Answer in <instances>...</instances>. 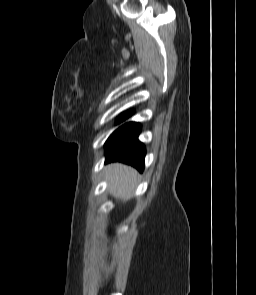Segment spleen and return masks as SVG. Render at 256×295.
Wrapping results in <instances>:
<instances>
[{
  "label": "spleen",
  "instance_id": "1",
  "mask_svg": "<svg viewBox=\"0 0 256 295\" xmlns=\"http://www.w3.org/2000/svg\"><path fill=\"white\" fill-rule=\"evenodd\" d=\"M106 170V178L110 180V190L113 196L127 198L136 184L137 172L121 164L110 165Z\"/></svg>",
  "mask_w": 256,
  "mask_h": 295
}]
</instances>
